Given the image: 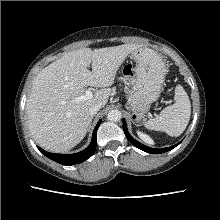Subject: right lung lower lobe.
Listing matches in <instances>:
<instances>
[{"label": "right lung lower lobe", "mask_w": 220, "mask_h": 220, "mask_svg": "<svg viewBox=\"0 0 220 220\" xmlns=\"http://www.w3.org/2000/svg\"><path fill=\"white\" fill-rule=\"evenodd\" d=\"M100 123H101V120H99V122L97 123V125L93 131L92 141H91L90 145L81 152H78L75 154H54V153H49L40 147H38V149L45 156H47L48 158H50L60 164H63V165L79 164V163L87 160L88 158H90L93 155V153L96 149V145H97V134L96 133H97V129H98Z\"/></svg>", "instance_id": "right-lung-lower-lobe-1"}]
</instances>
